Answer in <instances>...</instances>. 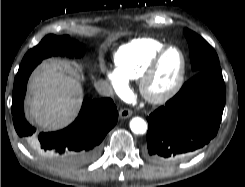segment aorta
Instances as JSON below:
<instances>
[{
	"instance_id": "1",
	"label": "aorta",
	"mask_w": 245,
	"mask_h": 187,
	"mask_svg": "<svg viewBox=\"0 0 245 187\" xmlns=\"http://www.w3.org/2000/svg\"><path fill=\"white\" fill-rule=\"evenodd\" d=\"M130 129L135 134H144L147 131V124L142 118L134 117L130 121Z\"/></svg>"
}]
</instances>
